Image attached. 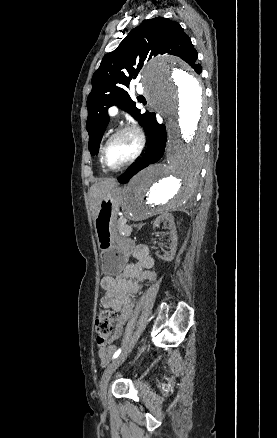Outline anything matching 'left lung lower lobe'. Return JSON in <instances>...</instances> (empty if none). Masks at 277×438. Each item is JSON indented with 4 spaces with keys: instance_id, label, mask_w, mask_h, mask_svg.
I'll return each instance as SVG.
<instances>
[{
    "instance_id": "left-lung-lower-lobe-1",
    "label": "left lung lower lobe",
    "mask_w": 277,
    "mask_h": 438,
    "mask_svg": "<svg viewBox=\"0 0 277 438\" xmlns=\"http://www.w3.org/2000/svg\"><path fill=\"white\" fill-rule=\"evenodd\" d=\"M150 137L147 141V149L142 158L130 166L125 173L118 177L121 183H127L137 172L154 164L160 160L164 154L166 146V128L163 124H158L155 115L151 116V124L148 129Z\"/></svg>"
}]
</instances>
